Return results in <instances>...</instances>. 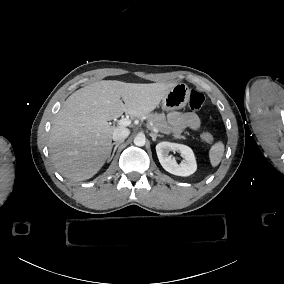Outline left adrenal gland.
<instances>
[{
  "instance_id": "a2214340",
  "label": "left adrenal gland",
  "mask_w": 284,
  "mask_h": 284,
  "mask_svg": "<svg viewBox=\"0 0 284 284\" xmlns=\"http://www.w3.org/2000/svg\"><path fill=\"white\" fill-rule=\"evenodd\" d=\"M150 136L152 137V140H153V141H156V138H157V137H164V135L156 134V133H154V132H151V133H150Z\"/></svg>"
}]
</instances>
